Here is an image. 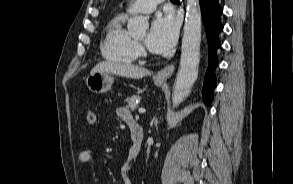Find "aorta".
<instances>
[{"mask_svg": "<svg viewBox=\"0 0 293 184\" xmlns=\"http://www.w3.org/2000/svg\"><path fill=\"white\" fill-rule=\"evenodd\" d=\"M201 11L199 0H186V19L181 47L180 66L173 87V107L190 94L198 76L201 41ZM149 27L147 18L135 16L129 20L127 28L133 34L144 33Z\"/></svg>", "mask_w": 293, "mask_h": 184, "instance_id": "aorta-1", "label": "aorta"}]
</instances>
